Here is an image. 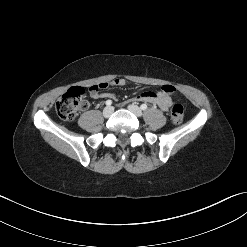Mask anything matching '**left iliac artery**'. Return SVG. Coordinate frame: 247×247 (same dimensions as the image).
<instances>
[{"label": "left iliac artery", "mask_w": 247, "mask_h": 247, "mask_svg": "<svg viewBox=\"0 0 247 247\" xmlns=\"http://www.w3.org/2000/svg\"><path fill=\"white\" fill-rule=\"evenodd\" d=\"M140 108H141L142 110H146V109H147V105H146V104H142V105L140 106Z\"/></svg>", "instance_id": "44dca946"}]
</instances>
